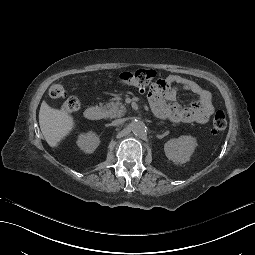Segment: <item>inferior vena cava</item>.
I'll use <instances>...</instances> for the list:
<instances>
[{
  "label": "inferior vena cava",
  "instance_id": "inferior-vena-cava-1",
  "mask_svg": "<svg viewBox=\"0 0 255 255\" xmlns=\"http://www.w3.org/2000/svg\"><path fill=\"white\" fill-rule=\"evenodd\" d=\"M121 123H122L121 120H114V121L112 122V125H113V126H118V125H120Z\"/></svg>",
  "mask_w": 255,
  "mask_h": 255
}]
</instances>
